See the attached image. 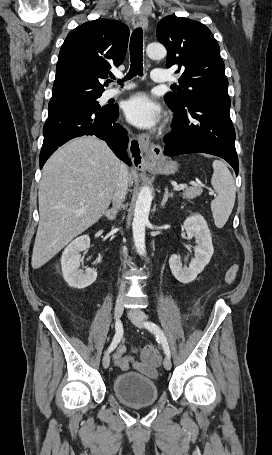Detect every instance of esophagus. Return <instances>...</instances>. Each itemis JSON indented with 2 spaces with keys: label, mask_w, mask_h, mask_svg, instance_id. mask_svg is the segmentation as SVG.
<instances>
[{
  "label": "esophagus",
  "mask_w": 272,
  "mask_h": 455,
  "mask_svg": "<svg viewBox=\"0 0 272 455\" xmlns=\"http://www.w3.org/2000/svg\"><path fill=\"white\" fill-rule=\"evenodd\" d=\"M133 24L135 27H142L147 30V16L143 12L136 14ZM131 152L134 167L142 170L161 157L162 148L160 145L151 142L147 134H140L136 140L132 141Z\"/></svg>",
  "instance_id": "34e87169"
}]
</instances>
